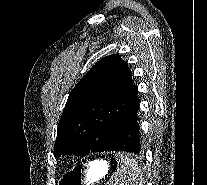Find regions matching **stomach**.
Here are the masks:
<instances>
[{"instance_id": "stomach-1", "label": "stomach", "mask_w": 207, "mask_h": 185, "mask_svg": "<svg viewBox=\"0 0 207 185\" xmlns=\"http://www.w3.org/2000/svg\"><path fill=\"white\" fill-rule=\"evenodd\" d=\"M108 170L107 161L94 160L66 172L61 178L60 185H92L102 179Z\"/></svg>"}]
</instances>
